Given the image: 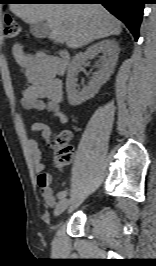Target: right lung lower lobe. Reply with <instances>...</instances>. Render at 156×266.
<instances>
[{"label":"right lung lower lobe","instance_id":"obj_1","mask_svg":"<svg viewBox=\"0 0 156 266\" xmlns=\"http://www.w3.org/2000/svg\"><path fill=\"white\" fill-rule=\"evenodd\" d=\"M44 4H102L110 13L125 23L135 40L139 37V26L147 0H42Z\"/></svg>","mask_w":156,"mask_h":266}]
</instances>
